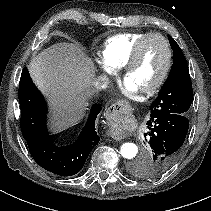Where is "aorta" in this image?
<instances>
[{"mask_svg":"<svg viewBox=\"0 0 211 211\" xmlns=\"http://www.w3.org/2000/svg\"><path fill=\"white\" fill-rule=\"evenodd\" d=\"M121 155L126 159H133L138 153V147L134 143H124L120 148Z\"/></svg>","mask_w":211,"mask_h":211,"instance_id":"1","label":"aorta"}]
</instances>
